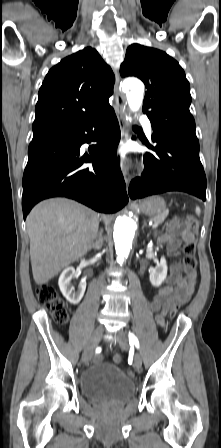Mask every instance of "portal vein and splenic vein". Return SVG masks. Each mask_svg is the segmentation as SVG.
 <instances>
[{
	"label": "portal vein and splenic vein",
	"mask_w": 221,
	"mask_h": 448,
	"mask_svg": "<svg viewBox=\"0 0 221 448\" xmlns=\"http://www.w3.org/2000/svg\"><path fill=\"white\" fill-rule=\"evenodd\" d=\"M149 225H151L153 228H157L158 227V223L154 222H150Z\"/></svg>",
	"instance_id": "obj_1"
}]
</instances>
